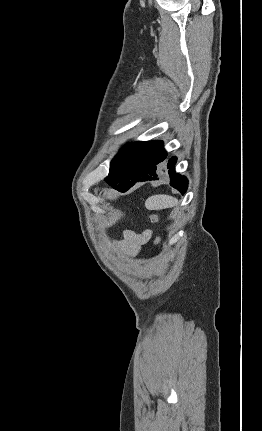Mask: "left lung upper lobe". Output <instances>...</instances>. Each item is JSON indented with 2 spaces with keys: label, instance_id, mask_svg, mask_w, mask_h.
Segmentation results:
<instances>
[{
  "label": "left lung upper lobe",
  "instance_id": "obj_1",
  "mask_svg": "<svg viewBox=\"0 0 262 431\" xmlns=\"http://www.w3.org/2000/svg\"><path fill=\"white\" fill-rule=\"evenodd\" d=\"M147 142H136L121 149L110 164V172L106 177V182L112 187L117 188L127 183L131 177L130 166L140 147Z\"/></svg>",
  "mask_w": 262,
  "mask_h": 431
}]
</instances>
